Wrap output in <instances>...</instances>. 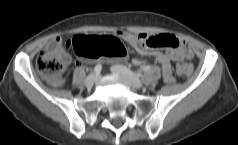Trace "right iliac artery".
I'll return each instance as SVG.
<instances>
[{"label":"right iliac artery","mask_w":238,"mask_h":145,"mask_svg":"<svg viewBox=\"0 0 238 145\" xmlns=\"http://www.w3.org/2000/svg\"><path fill=\"white\" fill-rule=\"evenodd\" d=\"M102 69V65L101 64H97L93 70L94 73H99Z\"/></svg>","instance_id":"82829eb1"}]
</instances>
